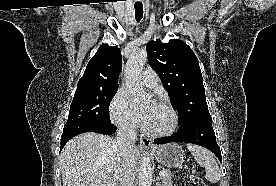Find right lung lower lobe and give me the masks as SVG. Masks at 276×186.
Returning a JSON list of instances; mask_svg holds the SVG:
<instances>
[{"instance_id":"98d812e1","label":"right lung lower lobe","mask_w":276,"mask_h":186,"mask_svg":"<svg viewBox=\"0 0 276 186\" xmlns=\"http://www.w3.org/2000/svg\"><path fill=\"white\" fill-rule=\"evenodd\" d=\"M116 131V126L111 122H76L64 126L63 134L61 138L60 151L64 145L74 136L84 132H95L104 135H112Z\"/></svg>"}]
</instances>
